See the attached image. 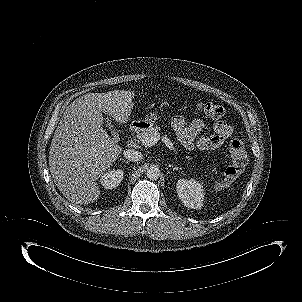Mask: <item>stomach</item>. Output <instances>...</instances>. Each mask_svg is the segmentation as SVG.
<instances>
[{
	"mask_svg": "<svg viewBox=\"0 0 302 302\" xmlns=\"http://www.w3.org/2000/svg\"><path fill=\"white\" fill-rule=\"evenodd\" d=\"M157 120H158L157 114L151 112L144 118V120L138 121V124L142 127H149V126H153Z\"/></svg>",
	"mask_w": 302,
	"mask_h": 302,
	"instance_id": "obj_1",
	"label": "stomach"
}]
</instances>
